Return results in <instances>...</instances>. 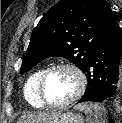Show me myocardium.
I'll return each mask as SVG.
<instances>
[{"label":"myocardium","instance_id":"1","mask_svg":"<svg viewBox=\"0 0 122 123\" xmlns=\"http://www.w3.org/2000/svg\"><path fill=\"white\" fill-rule=\"evenodd\" d=\"M60 69H68L76 75L77 89L75 93L67 100L60 102V103H52V102H49L45 97V94H44L45 83L51 73H53L56 70H60ZM86 83H87L86 76L84 72L78 66L72 63H59V64L48 67L42 74L39 80V83H38V89H37L38 97L40 101L42 102V104L46 107H49V108L67 107L71 105L72 103H74L75 101H77L83 95L86 89Z\"/></svg>","mask_w":122,"mask_h":123}]
</instances>
